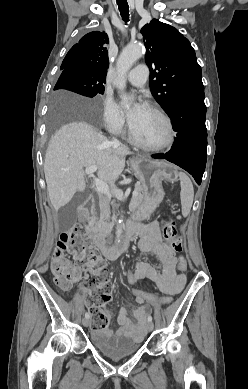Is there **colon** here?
Listing matches in <instances>:
<instances>
[{
    "instance_id": "obj_1",
    "label": "colon",
    "mask_w": 248,
    "mask_h": 389,
    "mask_svg": "<svg viewBox=\"0 0 248 389\" xmlns=\"http://www.w3.org/2000/svg\"><path fill=\"white\" fill-rule=\"evenodd\" d=\"M163 234L176 251H181L182 243L181 240L176 239V222L174 219L164 222ZM68 255H74L75 260H86L89 268L81 273L75 265L69 262ZM177 269L182 273L187 269V262L183 256L179 258ZM51 272L55 284L61 288H69L80 278L84 279L86 287H92L94 294L89 300L92 305L88 306V311L92 312V329L105 331L108 328L111 314L101 308H103L104 302H108L111 298V291L107 287L111 273L80 228L75 227L61 233L51 263ZM127 272L125 279L130 286L129 296L131 298H141V301H148L147 305L149 307H157L158 309H164L171 302L170 295L162 296V294H156L155 291L136 288V279L132 274L134 269L129 267Z\"/></svg>"
}]
</instances>
